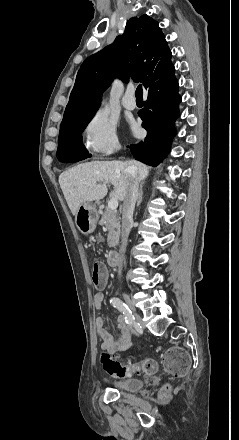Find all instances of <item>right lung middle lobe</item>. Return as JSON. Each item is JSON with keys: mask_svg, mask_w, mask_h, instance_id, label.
<instances>
[{"mask_svg": "<svg viewBox=\"0 0 239 440\" xmlns=\"http://www.w3.org/2000/svg\"><path fill=\"white\" fill-rule=\"evenodd\" d=\"M94 114L95 112L88 113L61 123L57 153L61 150L82 144L81 133L90 122Z\"/></svg>", "mask_w": 239, "mask_h": 440, "instance_id": "obj_1", "label": "right lung middle lobe"}]
</instances>
